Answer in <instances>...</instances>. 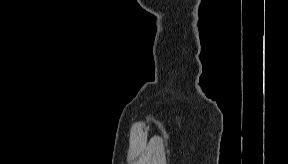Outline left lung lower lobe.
I'll use <instances>...</instances> for the list:
<instances>
[{
	"label": "left lung lower lobe",
	"mask_w": 288,
	"mask_h": 164,
	"mask_svg": "<svg viewBox=\"0 0 288 164\" xmlns=\"http://www.w3.org/2000/svg\"><path fill=\"white\" fill-rule=\"evenodd\" d=\"M209 76V89L205 91L206 96L212 99H216V90L214 88V83L216 82L217 79L222 78L223 79V86L227 85L230 83L233 79V72L231 70H224L223 74L220 73H213V72H208Z\"/></svg>",
	"instance_id": "obj_1"
}]
</instances>
